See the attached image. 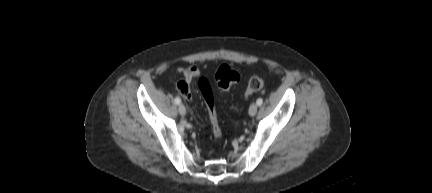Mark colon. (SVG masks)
Returning a JSON list of instances; mask_svg holds the SVG:
<instances>
[{"label": "colon", "mask_w": 432, "mask_h": 193, "mask_svg": "<svg viewBox=\"0 0 432 193\" xmlns=\"http://www.w3.org/2000/svg\"><path fill=\"white\" fill-rule=\"evenodd\" d=\"M240 79V71L237 68L223 65L221 66L215 74V83L221 90H227L232 85L236 84ZM264 81L261 77H252L247 85L245 95L248 96L262 89ZM199 88L202 92L204 100L206 102L210 125L213 135L216 139L222 138V128L218 113L216 111L213 92L210 83L207 79L201 78L199 81Z\"/></svg>", "instance_id": "colon-1"}]
</instances>
